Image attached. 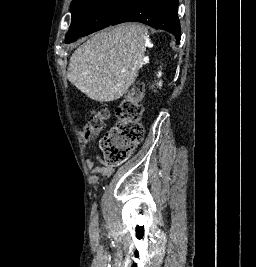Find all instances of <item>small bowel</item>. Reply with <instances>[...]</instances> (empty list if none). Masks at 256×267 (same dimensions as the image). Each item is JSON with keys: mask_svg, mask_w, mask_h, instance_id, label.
Wrapping results in <instances>:
<instances>
[{"mask_svg": "<svg viewBox=\"0 0 256 267\" xmlns=\"http://www.w3.org/2000/svg\"><path fill=\"white\" fill-rule=\"evenodd\" d=\"M87 169L93 183H96L99 178L110 177L114 172V167L108 164L100 153H97L93 159L89 161Z\"/></svg>", "mask_w": 256, "mask_h": 267, "instance_id": "c3829d8e", "label": "small bowel"}]
</instances>
